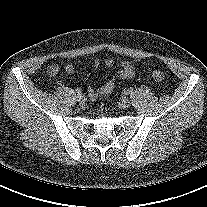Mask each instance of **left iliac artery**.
Listing matches in <instances>:
<instances>
[{"label": "left iliac artery", "instance_id": "1", "mask_svg": "<svg viewBox=\"0 0 207 207\" xmlns=\"http://www.w3.org/2000/svg\"><path fill=\"white\" fill-rule=\"evenodd\" d=\"M130 92H131L130 89H125V90H124V94H126V95L130 94Z\"/></svg>", "mask_w": 207, "mask_h": 207}]
</instances>
